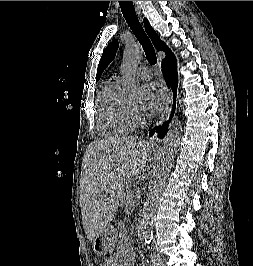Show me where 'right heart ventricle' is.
<instances>
[{"mask_svg": "<svg viewBox=\"0 0 253 266\" xmlns=\"http://www.w3.org/2000/svg\"><path fill=\"white\" fill-rule=\"evenodd\" d=\"M96 122L103 137L123 136L134 128L136 122L133 112L122 98L117 81H108L100 91L96 106Z\"/></svg>", "mask_w": 253, "mask_h": 266, "instance_id": "1", "label": "right heart ventricle"}]
</instances>
